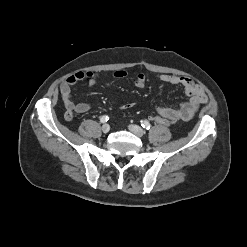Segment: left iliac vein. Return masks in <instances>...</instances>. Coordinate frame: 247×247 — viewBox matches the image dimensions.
<instances>
[{"mask_svg": "<svg viewBox=\"0 0 247 247\" xmlns=\"http://www.w3.org/2000/svg\"><path fill=\"white\" fill-rule=\"evenodd\" d=\"M129 130L135 135L142 137L145 134V131L138 125H129Z\"/></svg>", "mask_w": 247, "mask_h": 247, "instance_id": "1", "label": "left iliac vein"}]
</instances>
